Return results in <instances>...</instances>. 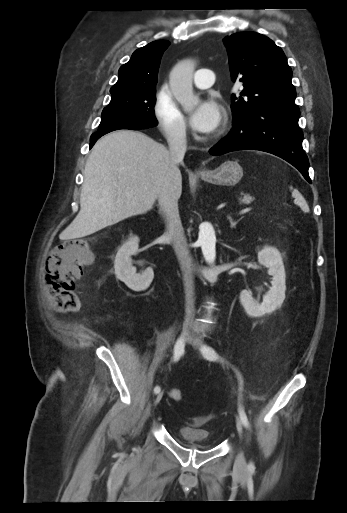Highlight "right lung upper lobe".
<instances>
[{
	"mask_svg": "<svg viewBox=\"0 0 347 513\" xmlns=\"http://www.w3.org/2000/svg\"><path fill=\"white\" fill-rule=\"evenodd\" d=\"M169 44L167 40H157L137 49L119 69L118 81L110 92L155 87L160 60Z\"/></svg>",
	"mask_w": 347,
	"mask_h": 513,
	"instance_id": "right-lung-upper-lobe-1",
	"label": "right lung upper lobe"
}]
</instances>
